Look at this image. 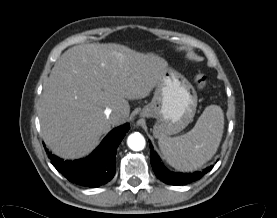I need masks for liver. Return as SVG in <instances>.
Instances as JSON below:
<instances>
[{"label": "liver", "instance_id": "6515ba94", "mask_svg": "<svg viewBox=\"0 0 277 218\" xmlns=\"http://www.w3.org/2000/svg\"><path fill=\"white\" fill-rule=\"evenodd\" d=\"M167 68L163 58L119 44L69 48L44 85L38 116L45 143L65 159L89 154L111 126L127 120L128 100L147 97Z\"/></svg>", "mask_w": 277, "mask_h": 218}]
</instances>
